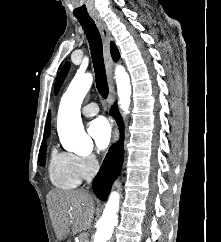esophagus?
I'll return each instance as SVG.
<instances>
[{
  "label": "esophagus",
  "mask_w": 221,
  "mask_h": 242,
  "mask_svg": "<svg viewBox=\"0 0 221 242\" xmlns=\"http://www.w3.org/2000/svg\"><path fill=\"white\" fill-rule=\"evenodd\" d=\"M94 21L100 31L102 40H103V54H104V63L107 73V79L109 84V96L108 101L111 104L114 100V85H113V65H112V57L110 54V42H111V35L110 32L105 25V23L100 18H94ZM111 124L113 127V142L118 141L119 139V130L115 125V121L112 119Z\"/></svg>",
  "instance_id": "esophagus-1"
}]
</instances>
